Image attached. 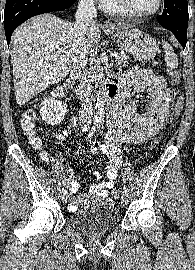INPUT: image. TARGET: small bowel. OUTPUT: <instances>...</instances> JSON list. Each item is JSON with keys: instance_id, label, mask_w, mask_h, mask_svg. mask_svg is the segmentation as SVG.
<instances>
[{"instance_id": "c3829d8e", "label": "small bowel", "mask_w": 195, "mask_h": 270, "mask_svg": "<svg viewBox=\"0 0 195 270\" xmlns=\"http://www.w3.org/2000/svg\"><path fill=\"white\" fill-rule=\"evenodd\" d=\"M111 80L117 85L120 82V91L116 103L110 107L106 118L107 132L102 145H94L93 152L109 158L106 167V180L93 185L88 193L75 195L68 205L70 211H75L77 205L87 203L109 202V190L114 188L118 177V169L123 165L121 143L135 147L156 135L164 126L172 100V92L167 87L165 79L148 70L131 69L121 75L114 72ZM146 91L151 98L150 109L140 113L135 106L126 105L124 102L132 92ZM75 119L70 128L57 133V138H65L72 133ZM96 179L101 178L99 172H94ZM79 183L71 181L70 192L76 194Z\"/></svg>"}]
</instances>
